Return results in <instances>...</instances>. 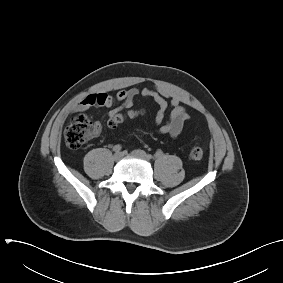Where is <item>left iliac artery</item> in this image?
Wrapping results in <instances>:
<instances>
[{"mask_svg": "<svg viewBox=\"0 0 283 283\" xmlns=\"http://www.w3.org/2000/svg\"><path fill=\"white\" fill-rule=\"evenodd\" d=\"M163 155V152L161 150L157 151L154 155L155 158H160ZM150 155V158H154Z\"/></svg>", "mask_w": 283, "mask_h": 283, "instance_id": "obj_1", "label": "left iliac artery"}]
</instances>
